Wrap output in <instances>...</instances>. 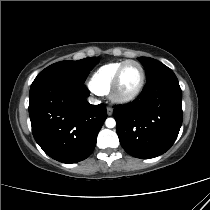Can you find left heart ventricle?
Here are the masks:
<instances>
[{
	"label": "left heart ventricle",
	"mask_w": 210,
	"mask_h": 210,
	"mask_svg": "<svg viewBox=\"0 0 210 210\" xmlns=\"http://www.w3.org/2000/svg\"><path fill=\"white\" fill-rule=\"evenodd\" d=\"M140 77L141 72L136 64L126 65L121 75L120 91L122 93L131 92L138 85Z\"/></svg>",
	"instance_id": "obj_1"
}]
</instances>
